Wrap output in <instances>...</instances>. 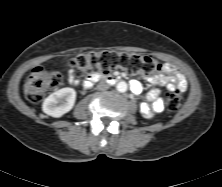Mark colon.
<instances>
[{
	"label": "colon",
	"instance_id": "5ec220e1",
	"mask_svg": "<svg viewBox=\"0 0 222 187\" xmlns=\"http://www.w3.org/2000/svg\"><path fill=\"white\" fill-rule=\"evenodd\" d=\"M69 63L73 70L84 79L108 74L117 69L132 75H153L162 69V64L150 56L111 51L81 54L72 58ZM61 84L60 73L36 67L27 77L24 94L31 103H38L49 91L59 88ZM181 102L182 97L179 93H170L167 96L166 108L169 112H176Z\"/></svg>",
	"mask_w": 222,
	"mask_h": 187
}]
</instances>
